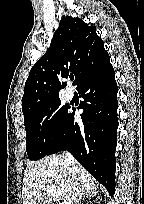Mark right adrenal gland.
Instances as JSON below:
<instances>
[{
	"label": "right adrenal gland",
	"instance_id": "2a0ac1e0",
	"mask_svg": "<svg viewBox=\"0 0 144 204\" xmlns=\"http://www.w3.org/2000/svg\"><path fill=\"white\" fill-rule=\"evenodd\" d=\"M92 195H93V193H92V194H90V193H85L86 198H90ZM81 199H82V197L79 198V201H80ZM79 201H78V204H79Z\"/></svg>",
	"mask_w": 144,
	"mask_h": 204
}]
</instances>
